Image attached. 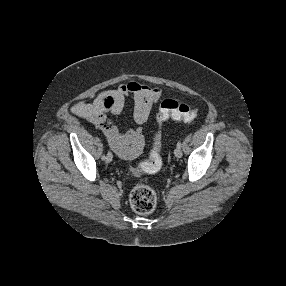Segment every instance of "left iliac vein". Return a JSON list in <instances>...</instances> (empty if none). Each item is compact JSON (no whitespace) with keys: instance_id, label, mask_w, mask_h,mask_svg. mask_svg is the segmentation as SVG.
Instances as JSON below:
<instances>
[{"instance_id":"1","label":"left iliac vein","mask_w":286,"mask_h":286,"mask_svg":"<svg viewBox=\"0 0 286 286\" xmlns=\"http://www.w3.org/2000/svg\"><path fill=\"white\" fill-rule=\"evenodd\" d=\"M174 155L176 158H181L182 157V150L180 148H176L174 150Z\"/></svg>"}]
</instances>
